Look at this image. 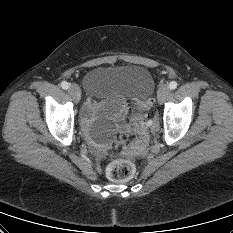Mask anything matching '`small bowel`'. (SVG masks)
I'll use <instances>...</instances> for the list:
<instances>
[{
	"label": "small bowel",
	"instance_id": "small-bowel-1",
	"mask_svg": "<svg viewBox=\"0 0 233 233\" xmlns=\"http://www.w3.org/2000/svg\"><path fill=\"white\" fill-rule=\"evenodd\" d=\"M97 108V105L93 101H88L86 106H85V114L90 115L92 114Z\"/></svg>",
	"mask_w": 233,
	"mask_h": 233
}]
</instances>
